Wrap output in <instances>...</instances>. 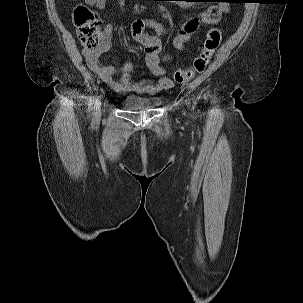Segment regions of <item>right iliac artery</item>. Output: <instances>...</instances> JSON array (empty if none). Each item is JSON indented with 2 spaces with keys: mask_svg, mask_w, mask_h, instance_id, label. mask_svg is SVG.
Instances as JSON below:
<instances>
[{
  "mask_svg": "<svg viewBox=\"0 0 303 303\" xmlns=\"http://www.w3.org/2000/svg\"><path fill=\"white\" fill-rule=\"evenodd\" d=\"M93 110V101L92 100H90L89 101V106H88V113H90L91 111Z\"/></svg>",
  "mask_w": 303,
  "mask_h": 303,
  "instance_id": "1",
  "label": "right iliac artery"
}]
</instances>
